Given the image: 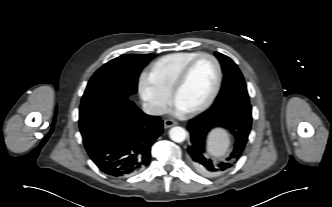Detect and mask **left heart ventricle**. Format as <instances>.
<instances>
[{"label": "left heart ventricle", "mask_w": 332, "mask_h": 207, "mask_svg": "<svg viewBox=\"0 0 332 207\" xmlns=\"http://www.w3.org/2000/svg\"><path fill=\"white\" fill-rule=\"evenodd\" d=\"M216 81V69L212 60L202 58L192 67L188 78L178 92L175 104L186 112L204 103Z\"/></svg>", "instance_id": "left-heart-ventricle-1"}]
</instances>
